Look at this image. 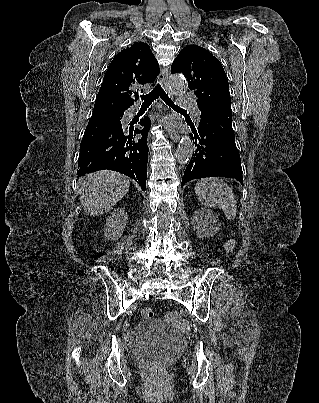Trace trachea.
<instances>
[{
	"label": "trachea",
	"instance_id": "1",
	"mask_svg": "<svg viewBox=\"0 0 319 403\" xmlns=\"http://www.w3.org/2000/svg\"><path fill=\"white\" fill-rule=\"evenodd\" d=\"M161 97L163 99V101L169 105V107L173 108V109H179V110H183L182 108L178 107L177 105L174 104V102L171 100V98H169V96L165 93V91L163 90V88L161 87L160 84H157L154 89L146 94V95H140L141 99L144 101L142 105H147L149 106L150 104H152V102L154 100H156L158 97Z\"/></svg>",
	"mask_w": 319,
	"mask_h": 403
}]
</instances>
